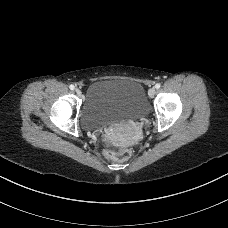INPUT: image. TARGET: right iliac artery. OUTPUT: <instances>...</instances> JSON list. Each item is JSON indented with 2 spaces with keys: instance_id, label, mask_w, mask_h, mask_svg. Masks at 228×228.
<instances>
[{
  "instance_id": "1",
  "label": "right iliac artery",
  "mask_w": 228,
  "mask_h": 228,
  "mask_svg": "<svg viewBox=\"0 0 228 228\" xmlns=\"http://www.w3.org/2000/svg\"><path fill=\"white\" fill-rule=\"evenodd\" d=\"M69 88H70L71 90H74V89H75V86H74V85H70Z\"/></svg>"
}]
</instances>
